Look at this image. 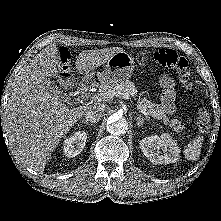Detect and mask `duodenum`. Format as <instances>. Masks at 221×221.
I'll list each match as a JSON object with an SVG mask.
<instances>
[{
	"instance_id": "410a0bca",
	"label": "duodenum",
	"mask_w": 221,
	"mask_h": 221,
	"mask_svg": "<svg viewBox=\"0 0 221 221\" xmlns=\"http://www.w3.org/2000/svg\"><path fill=\"white\" fill-rule=\"evenodd\" d=\"M87 89H88V85H87V83H82L80 86H79V88H78V92L80 93V94H83V93H85L86 91H87Z\"/></svg>"
}]
</instances>
